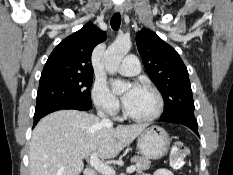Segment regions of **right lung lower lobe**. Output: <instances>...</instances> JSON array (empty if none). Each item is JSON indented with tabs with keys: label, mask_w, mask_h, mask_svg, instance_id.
Instances as JSON below:
<instances>
[{
	"label": "right lung lower lobe",
	"mask_w": 233,
	"mask_h": 175,
	"mask_svg": "<svg viewBox=\"0 0 233 175\" xmlns=\"http://www.w3.org/2000/svg\"><path fill=\"white\" fill-rule=\"evenodd\" d=\"M63 109H76V110L86 111V110L91 109V106L76 105V104H56V105L46 106L44 108H41V109L35 111L33 127L45 115H47V114H49L51 112H54V111H57V110H63Z\"/></svg>",
	"instance_id": "obj_1"
}]
</instances>
